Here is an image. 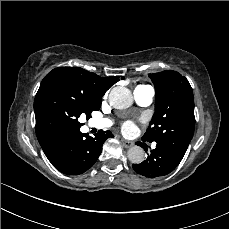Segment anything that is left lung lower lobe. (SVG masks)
<instances>
[{"mask_svg":"<svg viewBox=\"0 0 229 229\" xmlns=\"http://www.w3.org/2000/svg\"><path fill=\"white\" fill-rule=\"evenodd\" d=\"M145 142V141H144ZM137 145L143 147L146 151V145L136 142ZM183 156L175 153L165 144H156L150 155L140 164H133L132 167L136 173L148 178H156L171 173L181 162Z\"/></svg>","mask_w":229,"mask_h":229,"instance_id":"obj_1","label":"left lung lower lobe"}]
</instances>
